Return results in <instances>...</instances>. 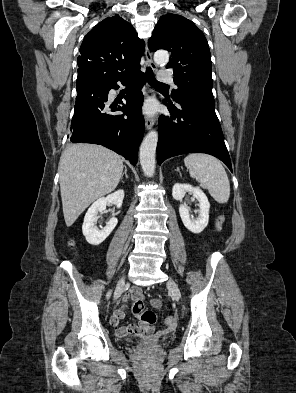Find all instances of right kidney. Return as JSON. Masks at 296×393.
I'll return each instance as SVG.
<instances>
[{
  "instance_id": "right-kidney-1",
  "label": "right kidney",
  "mask_w": 296,
  "mask_h": 393,
  "mask_svg": "<svg viewBox=\"0 0 296 393\" xmlns=\"http://www.w3.org/2000/svg\"><path fill=\"white\" fill-rule=\"evenodd\" d=\"M123 199L124 191L118 190L107 197L99 198L91 205L84 217V223L82 225L83 235L89 244H101L110 235L118 223V220L113 217L106 223V226L102 230H98L95 227L98 220V212L102 213L105 211L108 203L116 205L117 208H121Z\"/></svg>"
}]
</instances>
